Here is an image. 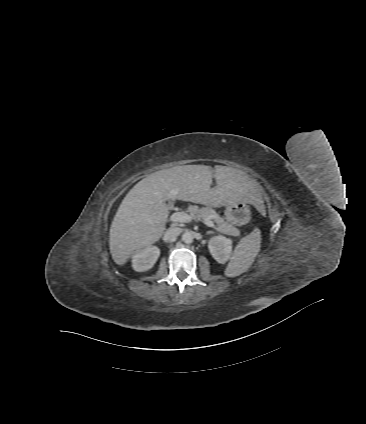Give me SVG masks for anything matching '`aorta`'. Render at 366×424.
<instances>
[{
	"mask_svg": "<svg viewBox=\"0 0 366 424\" xmlns=\"http://www.w3.org/2000/svg\"><path fill=\"white\" fill-rule=\"evenodd\" d=\"M194 240V235L191 231H186L183 235H182V241L186 244H191Z\"/></svg>",
	"mask_w": 366,
	"mask_h": 424,
	"instance_id": "obj_1",
	"label": "aorta"
}]
</instances>
